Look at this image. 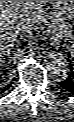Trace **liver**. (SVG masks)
<instances>
[{"label": "liver", "instance_id": "6515ba94", "mask_svg": "<svg viewBox=\"0 0 74 122\" xmlns=\"http://www.w3.org/2000/svg\"><path fill=\"white\" fill-rule=\"evenodd\" d=\"M52 1H0V59L8 56L18 35L32 33L44 21V4ZM24 25L20 31L18 24Z\"/></svg>", "mask_w": 74, "mask_h": 122}]
</instances>
